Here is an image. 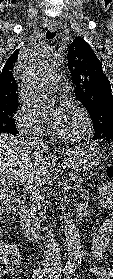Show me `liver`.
Wrapping results in <instances>:
<instances>
[{
	"mask_svg": "<svg viewBox=\"0 0 113 279\" xmlns=\"http://www.w3.org/2000/svg\"><path fill=\"white\" fill-rule=\"evenodd\" d=\"M49 159L32 150L16 136L0 133V211L7 206L18 176L30 185H44L51 176Z\"/></svg>",
	"mask_w": 113,
	"mask_h": 279,
	"instance_id": "liver-1",
	"label": "liver"
}]
</instances>
